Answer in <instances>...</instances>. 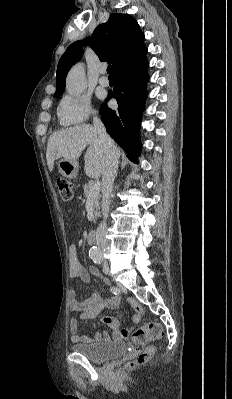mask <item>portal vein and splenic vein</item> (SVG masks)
I'll return each instance as SVG.
<instances>
[{"mask_svg": "<svg viewBox=\"0 0 232 399\" xmlns=\"http://www.w3.org/2000/svg\"><path fill=\"white\" fill-rule=\"evenodd\" d=\"M100 192V182H95L91 188V194H98Z\"/></svg>", "mask_w": 232, "mask_h": 399, "instance_id": "1", "label": "portal vein and splenic vein"}]
</instances>
